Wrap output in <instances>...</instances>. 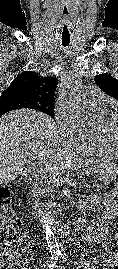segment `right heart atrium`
Listing matches in <instances>:
<instances>
[{
    "label": "right heart atrium",
    "mask_w": 118,
    "mask_h": 269,
    "mask_svg": "<svg viewBox=\"0 0 118 269\" xmlns=\"http://www.w3.org/2000/svg\"><path fill=\"white\" fill-rule=\"evenodd\" d=\"M55 118L68 144L79 148L88 141L90 134L84 132L70 117L56 112Z\"/></svg>",
    "instance_id": "right-heart-atrium-1"
}]
</instances>
